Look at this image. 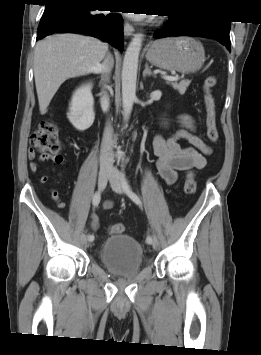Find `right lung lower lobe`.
<instances>
[{"mask_svg": "<svg viewBox=\"0 0 261 355\" xmlns=\"http://www.w3.org/2000/svg\"><path fill=\"white\" fill-rule=\"evenodd\" d=\"M37 39L52 33H83L123 50V19L117 13H97L101 5L88 0H45Z\"/></svg>", "mask_w": 261, "mask_h": 355, "instance_id": "obj_1", "label": "right lung lower lobe"}]
</instances>
